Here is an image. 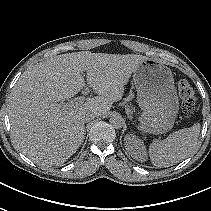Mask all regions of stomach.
<instances>
[{"label":"stomach","instance_id":"obj_1","mask_svg":"<svg viewBox=\"0 0 211 211\" xmlns=\"http://www.w3.org/2000/svg\"><path fill=\"white\" fill-rule=\"evenodd\" d=\"M137 101L142 110L140 129L150 134L169 131L178 113L179 102L173 74L153 58H145L133 72Z\"/></svg>","mask_w":211,"mask_h":211}]
</instances>
